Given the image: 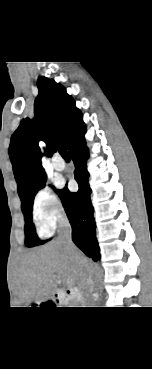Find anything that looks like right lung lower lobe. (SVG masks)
<instances>
[{"instance_id": "right-lung-lower-lobe-1", "label": "right lung lower lobe", "mask_w": 152, "mask_h": 369, "mask_svg": "<svg viewBox=\"0 0 152 369\" xmlns=\"http://www.w3.org/2000/svg\"><path fill=\"white\" fill-rule=\"evenodd\" d=\"M86 132V131H85ZM85 132L69 147V154L75 164V179L79 190L71 193L67 187L59 190L65 212L72 226L73 242L94 261L100 259L99 246L96 240V224L93 217V207L90 200L91 188L88 184L89 173L86 161L89 157L85 147Z\"/></svg>"}]
</instances>
